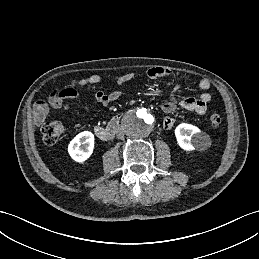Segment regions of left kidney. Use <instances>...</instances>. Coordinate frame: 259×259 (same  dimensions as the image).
<instances>
[{"instance_id": "left-kidney-1", "label": "left kidney", "mask_w": 259, "mask_h": 259, "mask_svg": "<svg viewBox=\"0 0 259 259\" xmlns=\"http://www.w3.org/2000/svg\"><path fill=\"white\" fill-rule=\"evenodd\" d=\"M175 136L182 149L192 151L201 146L200 140L206 135L201 133L198 127L182 123L176 127Z\"/></svg>"}]
</instances>
